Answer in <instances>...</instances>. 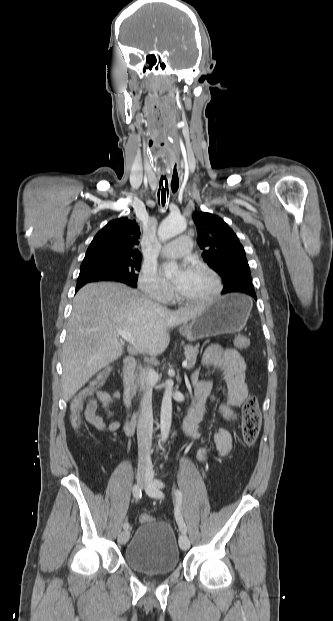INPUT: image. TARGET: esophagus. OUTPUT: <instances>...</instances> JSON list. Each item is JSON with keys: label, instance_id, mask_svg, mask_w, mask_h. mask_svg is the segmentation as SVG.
<instances>
[{"label": "esophagus", "instance_id": "esophagus-1", "mask_svg": "<svg viewBox=\"0 0 333 621\" xmlns=\"http://www.w3.org/2000/svg\"><path fill=\"white\" fill-rule=\"evenodd\" d=\"M168 181H169L170 192L172 195H175L179 190L178 186H179V182L181 181L178 168L175 170H172L171 174L168 177Z\"/></svg>", "mask_w": 333, "mask_h": 621}]
</instances>
